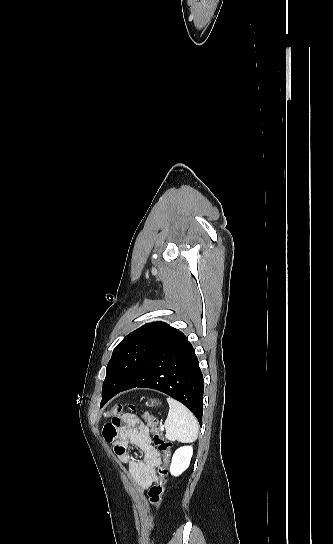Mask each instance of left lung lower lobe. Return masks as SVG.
I'll list each match as a JSON object with an SVG mask.
<instances>
[{
    "instance_id": "left-lung-lower-lobe-1",
    "label": "left lung lower lobe",
    "mask_w": 333,
    "mask_h": 544,
    "mask_svg": "<svg viewBox=\"0 0 333 544\" xmlns=\"http://www.w3.org/2000/svg\"><path fill=\"white\" fill-rule=\"evenodd\" d=\"M136 387L155 389L173 397L183 403L202 426L203 375L193 346L182 332L160 348L123 388L102 392L100 407L119 392Z\"/></svg>"
}]
</instances>
